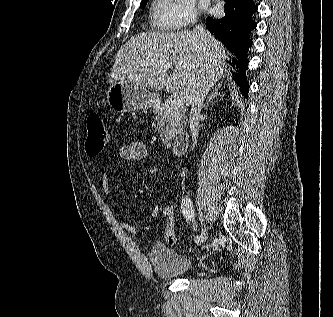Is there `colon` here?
Returning a JSON list of instances; mask_svg holds the SVG:
<instances>
[{
  "label": "colon",
  "mask_w": 333,
  "mask_h": 317,
  "mask_svg": "<svg viewBox=\"0 0 333 317\" xmlns=\"http://www.w3.org/2000/svg\"><path fill=\"white\" fill-rule=\"evenodd\" d=\"M88 133L86 139V152L89 156H97L102 152L109 142V135L100 116L92 112L87 120ZM159 217L165 224V240L173 246L177 242L175 224L177 221V210L174 205L166 204L159 212Z\"/></svg>",
  "instance_id": "obj_1"
}]
</instances>
